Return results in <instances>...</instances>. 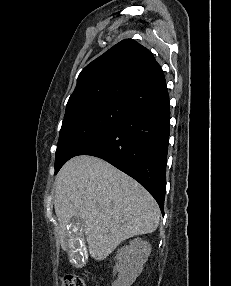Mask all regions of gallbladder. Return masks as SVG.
I'll return each mask as SVG.
<instances>
[{"label":"gallbladder","instance_id":"gallbladder-1","mask_svg":"<svg viewBox=\"0 0 231 286\" xmlns=\"http://www.w3.org/2000/svg\"><path fill=\"white\" fill-rule=\"evenodd\" d=\"M86 228L84 220L79 216H72L69 223H66V234L68 238L65 243H67V252H69L67 255L75 268L84 267L89 258V256H87L86 241L82 235L83 230H86Z\"/></svg>","mask_w":231,"mask_h":286}]
</instances>
